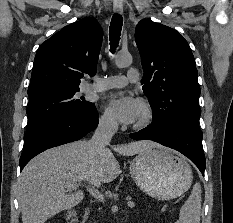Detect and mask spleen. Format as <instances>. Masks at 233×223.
I'll return each instance as SVG.
<instances>
[{
	"instance_id": "1",
	"label": "spleen",
	"mask_w": 233,
	"mask_h": 223,
	"mask_svg": "<svg viewBox=\"0 0 233 223\" xmlns=\"http://www.w3.org/2000/svg\"><path fill=\"white\" fill-rule=\"evenodd\" d=\"M201 193L200 183H195L188 199L180 209L176 223H200Z\"/></svg>"
}]
</instances>
